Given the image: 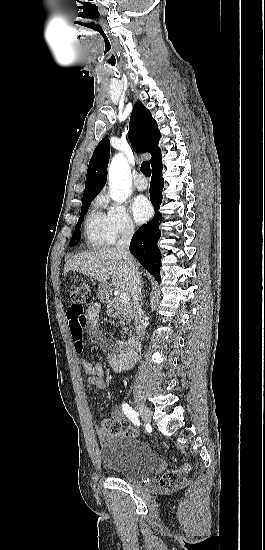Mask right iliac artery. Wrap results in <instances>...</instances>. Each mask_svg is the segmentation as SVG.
<instances>
[{"label": "right iliac artery", "mask_w": 265, "mask_h": 550, "mask_svg": "<svg viewBox=\"0 0 265 550\" xmlns=\"http://www.w3.org/2000/svg\"><path fill=\"white\" fill-rule=\"evenodd\" d=\"M122 409H123L125 415L129 418V420L134 425H137V426L140 425V422H139V419H138L139 414L134 409H132V407H130L127 403H123L122 404Z\"/></svg>", "instance_id": "right-iliac-artery-1"}]
</instances>
